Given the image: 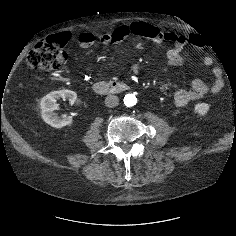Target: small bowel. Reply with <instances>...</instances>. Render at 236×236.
<instances>
[{
    "instance_id": "small-bowel-1",
    "label": "small bowel",
    "mask_w": 236,
    "mask_h": 236,
    "mask_svg": "<svg viewBox=\"0 0 236 236\" xmlns=\"http://www.w3.org/2000/svg\"><path fill=\"white\" fill-rule=\"evenodd\" d=\"M133 35L143 37L156 42H168L172 46L166 54V62L172 66H181L185 63L183 50L191 43L198 45L201 40L199 35L184 36L172 32L161 31L158 27L146 22H134L131 24H124L119 26L111 33L102 34L99 41L103 45H109L121 42L126 37ZM62 41L67 43L70 40L69 32H61L57 35ZM96 36L89 31L82 32L78 35V42L81 48L88 49L94 45ZM206 65H210V59L205 60ZM224 86V81L220 70H214V81L208 86L199 79L191 82L189 88H179L173 94V103L176 107H184L189 102L197 100L207 94L209 91L218 93Z\"/></svg>"
}]
</instances>
